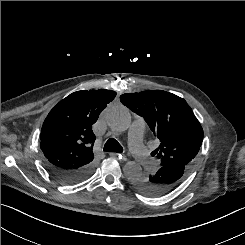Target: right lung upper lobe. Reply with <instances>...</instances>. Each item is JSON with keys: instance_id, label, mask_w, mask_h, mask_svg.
<instances>
[{"instance_id": "cb5924a9", "label": "right lung upper lobe", "mask_w": 245, "mask_h": 245, "mask_svg": "<svg viewBox=\"0 0 245 245\" xmlns=\"http://www.w3.org/2000/svg\"><path fill=\"white\" fill-rule=\"evenodd\" d=\"M115 96L116 92L111 90H84L61 100L42 126L40 148L45 164L65 170L92 164L95 141L92 125Z\"/></svg>"}]
</instances>
